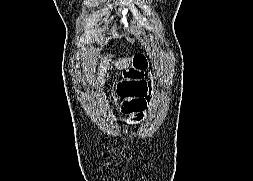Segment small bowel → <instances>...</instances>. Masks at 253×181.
<instances>
[{
	"label": "small bowel",
	"instance_id": "c3829d8e",
	"mask_svg": "<svg viewBox=\"0 0 253 181\" xmlns=\"http://www.w3.org/2000/svg\"><path fill=\"white\" fill-rule=\"evenodd\" d=\"M146 86H147V92H148V91H149V92L152 91V88H153L152 83L149 82V83L147 84V82H146Z\"/></svg>",
	"mask_w": 253,
	"mask_h": 181
}]
</instances>
